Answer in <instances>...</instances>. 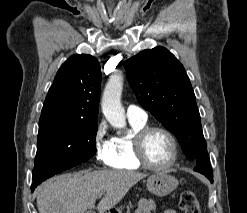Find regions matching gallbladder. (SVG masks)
<instances>
[{"instance_id": "1", "label": "gallbladder", "mask_w": 247, "mask_h": 213, "mask_svg": "<svg viewBox=\"0 0 247 213\" xmlns=\"http://www.w3.org/2000/svg\"><path fill=\"white\" fill-rule=\"evenodd\" d=\"M86 213H94V212L90 210V211H87Z\"/></svg>"}]
</instances>
